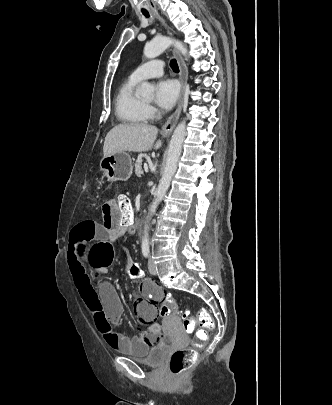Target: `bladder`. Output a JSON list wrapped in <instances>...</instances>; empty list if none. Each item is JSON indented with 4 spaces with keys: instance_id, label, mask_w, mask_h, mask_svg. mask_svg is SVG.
<instances>
[{
    "instance_id": "obj_1",
    "label": "bladder",
    "mask_w": 332,
    "mask_h": 405,
    "mask_svg": "<svg viewBox=\"0 0 332 405\" xmlns=\"http://www.w3.org/2000/svg\"><path fill=\"white\" fill-rule=\"evenodd\" d=\"M167 349V345L164 342H158L145 347L141 353L136 352L133 349L120 350V352L130 356L136 361L145 363L147 365L156 366L165 360Z\"/></svg>"
}]
</instances>
